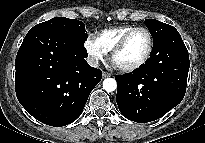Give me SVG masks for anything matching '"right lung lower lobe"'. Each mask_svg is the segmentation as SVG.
Returning <instances> with one entry per match:
<instances>
[{"label":"right lung lower lobe","instance_id":"obj_1","mask_svg":"<svg viewBox=\"0 0 205 143\" xmlns=\"http://www.w3.org/2000/svg\"><path fill=\"white\" fill-rule=\"evenodd\" d=\"M82 43L51 28H32L16 56L15 91L38 121L61 127L82 113L101 70L90 67Z\"/></svg>","mask_w":205,"mask_h":143}]
</instances>
